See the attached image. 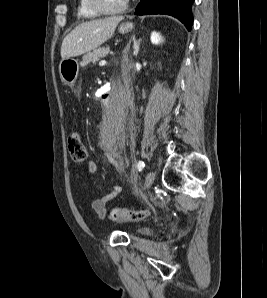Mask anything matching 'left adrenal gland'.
Wrapping results in <instances>:
<instances>
[{"label":"left adrenal gland","mask_w":267,"mask_h":298,"mask_svg":"<svg viewBox=\"0 0 267 298\" xmlns=\"http://www.w3.org/2000/svg\"><path fill=\"white\" fill-rule=\"evenodd\" d=\"M132 41H133L134 55L137 56L138 53H139V46H140V41H141V39H139V40L137 41L136 38H135V35L131 37V39H130V41H129V43H128V45H127V47H126V49H125L124 52H125L126 54L128 53L129 48H130V44H131Z\"/></svg>","instance_id":"1"}]
</instances>
